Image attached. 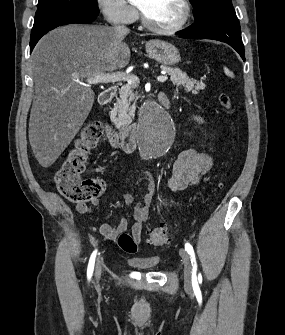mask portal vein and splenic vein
I'll return each instance as SVG.
<instances>
[{"label":"portal vein and splenic vein","mask_w":285,"mask_h":335,"mask_svg":"<svg viewBox=\"0 0 285 335\" xmlns=\"http://www.w3.org/2000/svg\"><path fill=\"white\" fill-rule=\"evenodd\" d=\"M162 76H157V82H166L168 80L167 72H161ZM87 84H107V82H127V84H138L139 80L136 76H128L123 72L117 74H100V76H89L86 80Z\"/></svg>","instance_id":"obj_1"}]
</instances>
